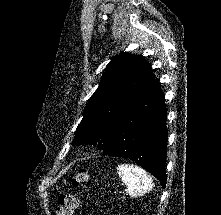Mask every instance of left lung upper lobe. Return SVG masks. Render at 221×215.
<instances>
[{"label":"left lung upper lobe","instance_id":"5c2ea615","mask_svg":"<svg viewBox=\"0 0 221 215\" xmlns=\"http://www.w3.org/2000/svg\"><path fill=\"white\" fill-rule=\"evenodd\" d=\"M155 80L151 66L139 55L121 53L107 65L91 96L72 145L98 143L105 149L118 122Z\"/></svg>","mask_w":221,"mask_h":215}]
</instances>
